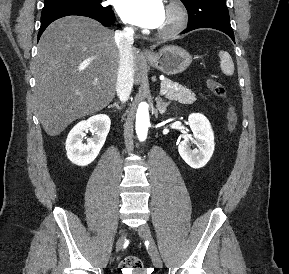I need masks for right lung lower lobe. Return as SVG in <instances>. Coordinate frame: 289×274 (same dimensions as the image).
<instances>
[{"mask_svg": "<svg viewBox=\"0 0 289 274\" xmlns=\"http://www.w3.org/2000/svg\"><path fill=\"white\" fill-rule=\"evenodd\" d=\"M70 15H77V16H85L95 19L102 23L104 26H110L115 21L114 12L112 10H108L105 12H96L91 10H86L82 8H64L58 10H52L49 12L42 13L41 15V26L38 33V38H40L43 31L46 27L52 23L53 21Z\"/></svg>", "mask_w": 289, "mask_h": 274, "instance_id": "1", "label": "right lung lower lobe"}]
</instances>
